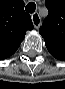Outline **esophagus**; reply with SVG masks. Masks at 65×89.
I'll list each match as a JSON object with an SVG mask.
<instances>
[{"label": "esophagus", "mask_w": 65, "mask_h": 89, "mask_svg": "<svg viewBox=\"0 0 65 89\" xmlns=\"http://www.w3.org/2000/svg\"><path fill=\"white\" fill-rule=\"evenodd\" d=\"M32 18V22L35 26V28H39L40 24H41V18L39 16V14L37 12H34L31 16Z\"/></svg>", "instance_id": "obj_1"}]
</instances>
